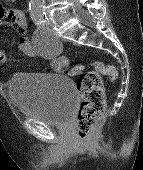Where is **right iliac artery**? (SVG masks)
<instances>
[{
    "label": "right iliac artery",
    "mask_w": 143,
    "mask_h": 170,
    "mask_svg": "<svg viewBox=\"0 0 143 170\" xmlns=\"http://www.w3.org/2000/svg\"><path fill=\"white\" fill-rule=\"evenodd\" d=\"M42 20H43V18H35V19H34V22H35V24H36L37 26H41V25H42Z\"/></svg>",
    "instance_id": "82829eb1"
}]
</instances>
